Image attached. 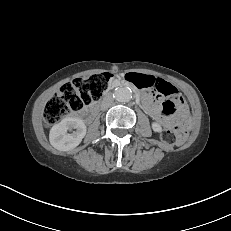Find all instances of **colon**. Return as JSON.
Listing matches in <instances>:
<instances>
[{"mask_svg":"<svg viewBox=\"0 0 231 231\" xmlns=\"http://www.w3.org/2000/svg\"><path fill=\"white\" fill-rule=\"evenodd\" d=\"M113 75L109 72L76 78L64 84L49 100L44 110V121L52 125L62 118L98 102L108 89ZM156 92L163 96H177L176 88L167 82L160 83ZM173 104L167 109L171 110ZM176 125L162 132V140L167 144L183 142L187 137V116L184 106H178Z\"/></svg>","mask_w":231,"mask_h":231,"instance_id":"5ec220e1","label":"colon"}]
</instances>
